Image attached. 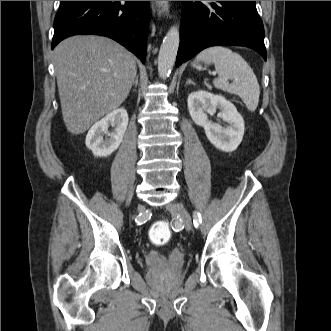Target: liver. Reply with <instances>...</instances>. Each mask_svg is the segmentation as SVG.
I'll return each instance as SVG.
<instances>
[{
	"instance_id": "obj_1",
	"label": "liver",
	"mask_w": 331,
	"mask_h": 331,
	"mask_svg": "<svg viewBox=\"0 0 331 331\" xmlns=\"http://www.w3.org/2000/svg\"><path fill=\"white\" fill-rule=\"evenodd\" d=\"M53 54L63 121L75 135L118 109L137 73L134 56L101 36L69 37Z\"/></svg>"
}]
</instances>
